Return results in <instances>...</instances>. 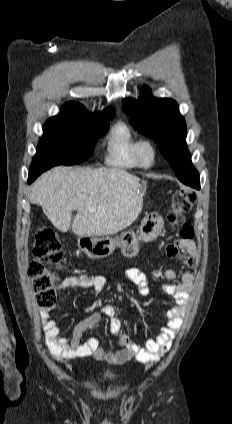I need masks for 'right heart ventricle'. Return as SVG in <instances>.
I'll list each match as a JSON object with an SVG mask.
<instances>
[{
    "label": "right heart ventricle",
    "mask_w": 232,
    "mask_h": 424,
    "mask_svg": "<svg viewBox=\"0 0 232 424\" xmlns=\"http://www.w3.org/2000/svg\"><path fill=\"white\" fill-rule=\"evenodd\" d=\"M140 141L128 124L117 123L106 138L105 163L118 169L141 167L136 158Z\"/></svg>",
    "instance_id": "obj_1"
}]
</instances>
